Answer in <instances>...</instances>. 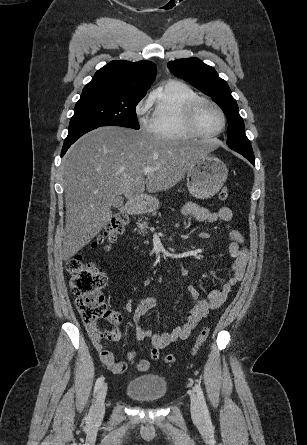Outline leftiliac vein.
I'll use <instances>...</instances> for the list:
<instances>
[{"label": "left iliac vein", "mask_w": 307, "mask_h": 445, "mask_svg": "<svg viewBox=\"0 0 307 445\" xmlns=\"http://www.w3.org/2000/svg\"><path fill=\"white\" fill-rule=\"evenodd\" d=\"M190 400H191V414L192 417L196 420V421H201L202 420V410L200 407V402L197 398V396L195 395V393L193 391L190 392Z\"/></svg>", "instance_id": "obj_1"}]
</instances>
